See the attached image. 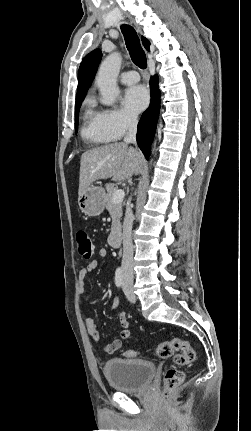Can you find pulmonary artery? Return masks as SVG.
<instances>
[{"label": "pulmonary artery", "mask_w": 251, "mask_h": 431, "mask_svg": "<svg viewBox=\"0 0 251 431\" xmlns=\"http://www.w3.org/2000/svg\"><path fill=\"white\" fill-rule=\"evenodd\" d=\"M139 81V75L136 71H128L121 76V82L124 84H134Z\"/></svg>", "instance_id": "pulmonary-artery-1"}]
</instances>
